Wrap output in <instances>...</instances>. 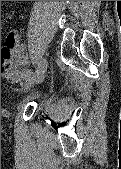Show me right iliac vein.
I'll return each instance as SVG.
<instances>
[{"label": "right iliac vein", "instance_id": "obj_1", "mask_svg": "<svg viewBox=\"0 0 121 169\" xmlns=\"http://www.w3.org/2000/svg\"><path fill=\"white\" fill-rule=\"evenodd\" d=\"M48 67V62L46 59H43L38 67V69L36 70V73L34 74V76L28 78L23 86L24 90H28L31 87H33L35 84H39L43 81L44 77H45V73Z\"/></svg>", "mask_w": 121, "mask_h": 169}]
</instances>
